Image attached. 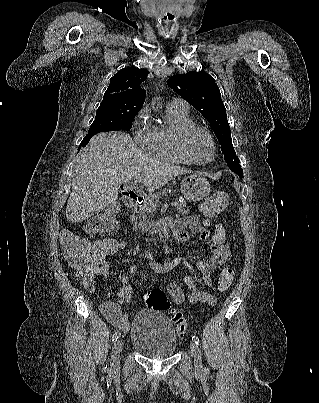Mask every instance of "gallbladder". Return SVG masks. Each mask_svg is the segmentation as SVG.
I'll use <instances>...</instances> for the list:
<instances>
[{"instance_id":"obj_1","label":"gallbladder","mask_w":319,"mask_h":403,"mask_svg":"<svg viewBox=\"0 0 319 403\" xmlns=\"http://www.w3.org/2000/svg\"><path fill=\"white\" fill-rule=\"evenodd\" d=\"M108 210L114 213V212L116 211V207H115L114 205H113V206H109V207H108Z\"/></svg>"}]
</instances>
